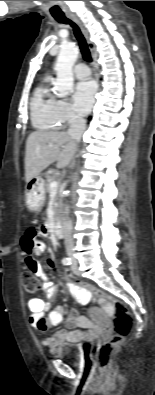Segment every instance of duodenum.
Wrapping results in <instances>:
<instances>
[{
	"instance_id": "1",
	"label": "duodenum",
	"mask_w": 155,
	"mask_h": 395,
	"mask_svg": "<svg viewBox=\"0 0 155 395\" xmlns=\"http://www.w3.org/2000/svg\"><path fill=\"white\" fill-rule=\"evenodd\" d=\"M54 232L57 236L63 237L64 236V229H63V224L60 218L56 217L54 220Z\"/></svg>"
}]
</instances>
